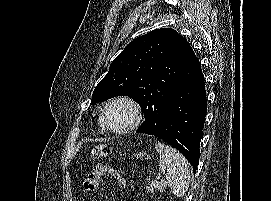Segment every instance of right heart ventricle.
Here are the masks:
<instances>
[{
	"instance_id": "e07e8e85",
	"label": "right heart ventricle",
	"mask_w": 271,
	"mask_h": 201,
	"mask_svg": "<svg viewBox=\"0 0 271 201\" xmlns=\"http://www.w3.org/2000/svg\"><path fill=\"white\" fill-rule=\"evenodd\" d=\"M97 125H98L99 131H100L101 133H103V132L105 131V129H104V127H103V125H102L100 119L98 120Z\"/></svg>"
}]
</instances>
